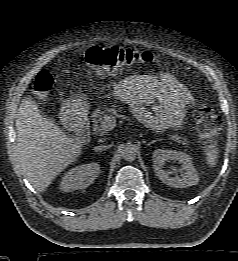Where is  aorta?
Here are the masks:
<instances>
[{"label":"aorta","mask_w":238,"mask_h":261,"mask_svg":"<svg viewBox=\"0 0 238 261\" xmlns=\"http://www.w3.org/2000/svg\"><path fill=\"white\" fill-rule=\"evenodd\" d=\"M121 153H122V157L124 158L125 161L131 162L136 159L137 148L135 145L128 144L122 148Z\"/></svg>","instance_id":"aorta-1"}]
</instances>
